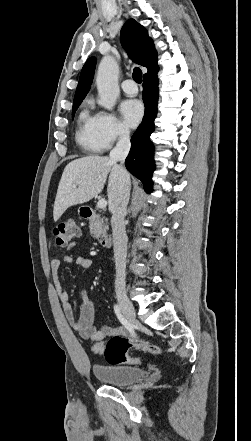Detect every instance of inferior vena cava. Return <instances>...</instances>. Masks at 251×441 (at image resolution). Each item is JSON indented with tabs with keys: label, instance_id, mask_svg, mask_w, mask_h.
Listing matches in <instances>:
<instances>
[{
	"label": "inferior vena cava",
	"instance_id": "inferior-vena-cava-1",
	"mask_svg": "<svg viewBox=\"0 0 251 441\" xmlns=\"http://www.w3.org/2000/svg\"><path fill=\"white\" fill-rule=\"evenodd\" d=\"M130 132L127 129L119 131L116 146L110 151V160L120 162L122 193L116 207L112 211L111 226L114 244V259L116 267L115 291L117 294L125 293L126 257L128 238L125 231V216L130 197V177L124 169L123 163L130 150Z\"/></svg>",
	"mask_w": 251,
	"mask_h": 441
}]
</instances>
